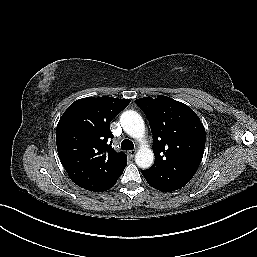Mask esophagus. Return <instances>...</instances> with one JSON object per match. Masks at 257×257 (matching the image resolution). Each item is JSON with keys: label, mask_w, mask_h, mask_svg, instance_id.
<instances>
[{"label": "esophagus", "mask_w": 257, "mask_h": 257, "mask_svg": "<svg viewBox=\"0 0 257 257\" xmlns=\"http://www.w3.org/2000/svg\"><path fill=\"white\" fill-rule=\"evenodd\" d=\"M135 154H136V150H130V151H128V155L131 157V158H133L134 156H135Z\"/></svg>", "instance_id": "esophagus-1"}]
</instances>
